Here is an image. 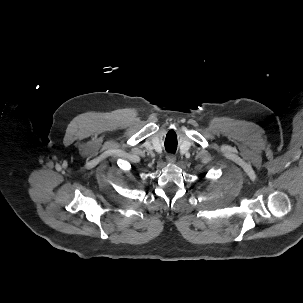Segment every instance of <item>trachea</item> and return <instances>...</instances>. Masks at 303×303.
I'll list each match as a JSON object with an SVG mask.
<instances>
[{
	"instance_id": "3493384b",
	"label": "trachea",
	"mask_w": 303,
	"mask_h": 303,
	"mask_svg": "<svg viewBox=\"0 0 303 303\" xmlns=\"http://www.w3.org/2000/svg\"><path fill=\"white\" fill-rule=\"evenodd\" d=\"M165 148L168 152L174 154L176 151L177 146L174 144H165Z\"/></svg>"
}]
</instances>
